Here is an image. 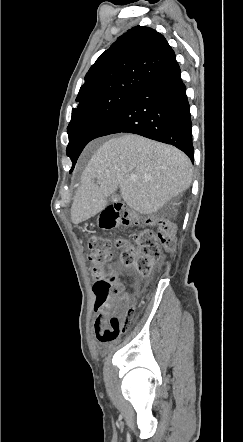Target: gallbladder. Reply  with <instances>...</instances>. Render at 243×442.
Instances as JSON below:
<instances>
[{"mask_svg": "<svg viewBox=\"0 0 243 442\" xmlns=\"http://www.w3.org/2000/svg\"><path fill=\"white\" fill-rule=\"evenodd\" d=\"M109 198H110V201L115 200L118 202L121 197L119 196L118 193H111Z\"/></svg>", "mask_w": 243, "mask_h": 442, "instance_id": "obj_1", "label": "gallbladder"}]
</instances>
